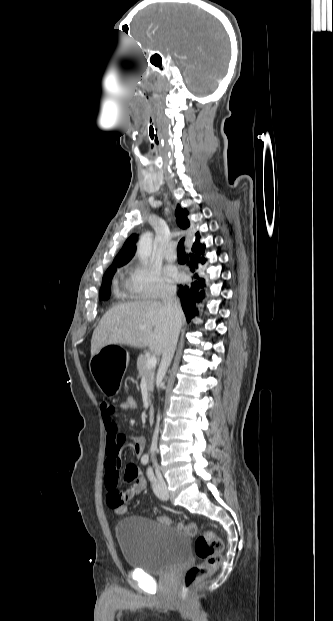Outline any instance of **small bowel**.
Wrapping results in <instances>:
<instances>
[{"instance_id":"c3829d8e","label":"small bowel","mask_w":333,"mask_h":621,"mask_svg":"<svg viewBox=\"0 0 333 621\" xmlns=\"http://www.w3.org/2000/svg\"><path fill=\"white\" fill-rule=\"evenodd\" d=\"M100 410L107 433V460L105 465L107 504L110 508L115 509L117 505L125 504L128 500L140 494L146 486V481L139 467L134 463H128L124 468V478L129 486L125 490L119 488L121 474L120 453L125 445L126 438L119 430L113 405L104 401L100 404ZM129 446L136 458L139 459L145 447V439L141 436L133 437L130 440Z\"/></svg>"}]
</instances>
